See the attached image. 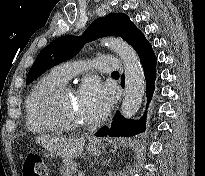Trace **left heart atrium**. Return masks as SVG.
Here are the masks:
<instances>
[{
  "mask_svg": "<svg viewBox=\"0 0 205 176\" xmlns=\"http://www.w3.org/2000/svg\"><path fill=\"white\" fill-rule=\"evenodd\" d=\"M78 105L89 121H98L107 113L112 95L98 80L89 79L85 81L76 93Z\"/></svg>",
  "mask_w": 205,
  "mask_h": 176,
  "instance_id": "39dd6f15",
  "label": "left heart atrium"
}]
</instances>
